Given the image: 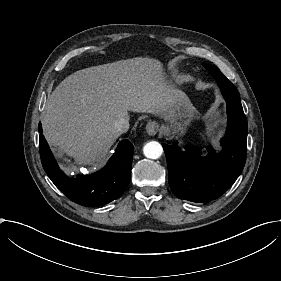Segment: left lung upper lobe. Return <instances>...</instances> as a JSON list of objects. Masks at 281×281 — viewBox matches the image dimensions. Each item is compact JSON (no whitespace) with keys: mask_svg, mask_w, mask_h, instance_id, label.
Wrapping results in <instances>:
<instances>
[{"mask_svg":"<svg viewBox=\"0 0 281 281\" xmlns=\"http://www.w3.org/2000/svg\"><path fill=\"white\" fill-rule=\"evenodd\" d=\"M204 67L210 72V74L215 78V79H219V78H224L225 76L221 73V71L219 70V68H217L214 65H204Z\"/></svg>","mask_w":281,"mask_h":281,"instance_id":"left-lung-upper-lobe-1","label":"left lung upper lobe"}]
</instances>
